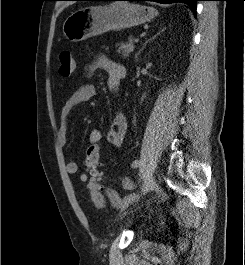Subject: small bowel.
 Returning a JSON list of instances; mask_svg holds the SVG:
<instances>
[{
	"instance_id": "c3829d8e",
	"label": "small bowel",
	"mask_w": 245,
	"mask_h": 265,
	"mask_svg": "<svg viewBox=\"0 0 245 265\" xmlns=\"http://www.w3.org/2000/svg\"><path fill=\"white\" fill-rule=\"evenodd\" d=\"M99 68L103 69L108 74V87L110 91L117 92L120 81L125 77V68L121 64L109 59L108 57L100 55L91 65L88 66L87 75H91L94 70ZM95 94L96 89L94 85L89 83L82 84L73 91L71 96L63 105L60 114V125L57 133L58 142L62 147H64L67 142L68 121L71 113L79 106L92 99ZM126 130V118L122 113H118L114 117L107 133V141L113 146H121L125 138ZM102 139L103 133L99 129H93L89 134V141L91 145H99ZM66 171L71 175L76 174L78 172L77 163L74 161H69L66 164ZM79 180L81 182H87L88 175L86 173H80ZM119 182L126 190H133L135 188L134 182L127 177L119 178ZM104 193L114 208H122L137 199V195L135 194H129L125 197H120L117 191L111 187H105Z\"/></svg>"
}]
</instances>
